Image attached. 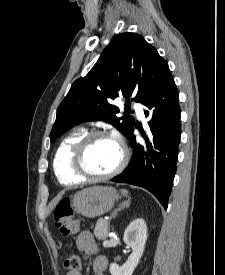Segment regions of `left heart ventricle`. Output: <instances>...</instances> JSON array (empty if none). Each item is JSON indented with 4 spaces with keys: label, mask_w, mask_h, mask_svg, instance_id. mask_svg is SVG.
Wrapping results in <instances>:
<instances>
[{
    "label": "left heart ventricle",
    "mask_w": 225,
    "mask_h": 275,
    "mask_svg": "<svg viewBox=\"0 0 225 275\" xmlns=\"http://www.w3.org/2000/svg\"><path fill=\"white\" fill-rule=\"evenodd\" d=\"M121 150L111 138L96 139L88 148L84 164L89 172L96 175L111 172L119 163Z\"/></svg>",
    "instance_id": "obj_1"
}]
</instances>
